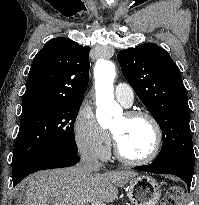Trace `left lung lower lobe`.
Returning a JSON list of instances; mask_svg holds the SVG:
<instances>
[{
	"label": "left lung lower lobe",
	"instance_id": "0a47b994",
	"mask_svg": "<svg viewBox=\"0 0 199 205\" xmlns=\"http://www.w3.org/2000/svg\"><path fill=\"white\" fill-rule=\"evenodd\" d=\"M135 170L152 172L157 174H172L180 177L187 184L190 191V185L194 172V165L183 161H169L159 164H150L145 166L135 167Z\"/></svg>",
	"mask_w": 199,
	"mask_h": 205
}]
</instances>
